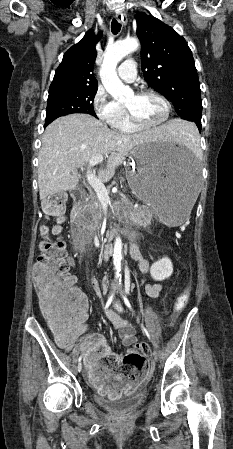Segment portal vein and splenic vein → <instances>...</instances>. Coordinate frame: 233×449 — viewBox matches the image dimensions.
<instances>
[{"instance_id":"1","label":"portal vein and splenic vein","mask_w":233,"mask_h":449,"mask_svg":"<svg viewBox=\"0 0 233 449\" xmlns=\"http://www.w3.org/2000/svg\"><path fill=\"white\" fill-rule=\"evenodd\" d=\"M104 160V156H94L89 160L88 168L100 163ZM87 181L91 185V187L95 190L96 195L102 204H110L111 199L108 195L106 187L101 182V180L92 172H87ZM118 203V202H117Z\"/></svg>"}]
</instances>
